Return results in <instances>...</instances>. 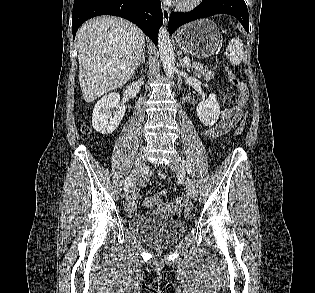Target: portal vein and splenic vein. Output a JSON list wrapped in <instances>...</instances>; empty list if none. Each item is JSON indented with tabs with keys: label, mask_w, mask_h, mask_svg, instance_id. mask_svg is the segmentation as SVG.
I'll list each match as a JSON object with an SVG mask.
<instances>
[{
	"label": "portal vein and splenic vein",
	"mask_w": 315,
	"mask_h": 293,
	"mask_svg": "<svg viewBox=\"0 0 315 293\" xmlns=\"http://www.w3.org/2000/svg\"><path fill=\"white\" fill-rule=\"evenodd\" d=\"M183 62H184V63H190V59H189L188 57H184V58H183Z\"/></svg>",
	"instance_id": "portal-vein-and-splenic-vein-1"
}]
</instances>
